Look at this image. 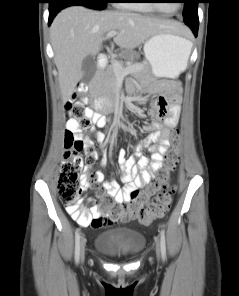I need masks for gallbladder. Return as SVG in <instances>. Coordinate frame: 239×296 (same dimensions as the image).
Listing matches in <instances>:
<instances>
[{
    "mask_svg": "<svg viewBox=\"0 0 239 296\" xmlns=\"http://www.w3.org/2000/svg\"><path fill=\"white\" fill-rule=\"evenodd\" d=\"M97 62L94 56L88 55L82 64L83 77L82 80L85 83H88L92 80L96 72Z\"/></svg>",
    "mask_w": 239,
    "mask_h": 296,
    "instance_id": "gallbladder-1",
    "label": "gallbladder"
}]
</instances>
